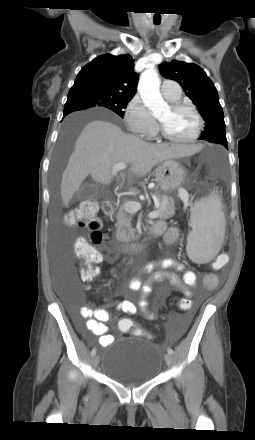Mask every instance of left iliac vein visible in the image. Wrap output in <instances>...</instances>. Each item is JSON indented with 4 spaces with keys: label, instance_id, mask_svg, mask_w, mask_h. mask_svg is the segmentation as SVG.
<instances>
[{
    "label": "left iliac vein",
    "instance_id": "left-iliac-vein-1",
    "mask_svg": "<svg viewBox=\"0 0 255 440\" xmlns=\"http://www.w3.org/2000/svg\"><path fill=\"white\" fill-rule=\"evenodd\" d=\"M165 362H166L167 366H169V367L172 365L173 357L171 354L168 353L165 355Z\"/></svg>",
    "mask_w": 255,
    "mask_h": 440
}]
</instances>
